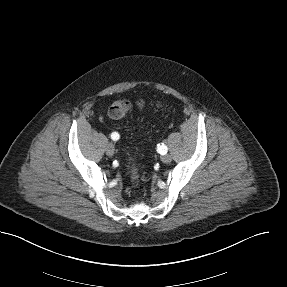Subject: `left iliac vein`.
I'll return each instance as SVG.
<instances>
[{
    "label": "left iliac vein",
    "mask_w": 287,
    "mask_h": 287,
    "mask_svg": "<svg viewBox=\"0 0 287 287\" xmlns=\"http://www.w3.org/2000/svg\"><path fill=\"white\" fill-rule=\"evenodd\" d=\"M171 156L169 155V154H164V155H162L161 156V160H162V162H164V163H169V162H171Z\"/></svg>",
    "instance_id": "4c4485c4"
}]
</instances>
